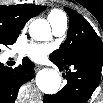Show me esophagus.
Wrapping results in <instances>:
<instances>
[{"label":"esophagus","mask_w":103,"mask_h":103,"mask_svg":"<svg viewBox=\"0 0 103 103\" xmlns=\"http://www.w3.org/2000/svg\"><path fill=\"white\" fill-rule=\"evenodd\" d=\"M42 68H43L42 65H40V64H35V70H36V71H38V70H40V69H42Z\"/></svg>","instance_id":"34e87169"}]
</instances>
